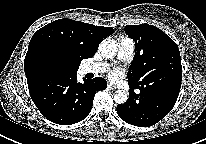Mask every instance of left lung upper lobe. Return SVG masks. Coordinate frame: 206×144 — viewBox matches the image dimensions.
<instances>
[{
    "label": "left lung upper lobe",
    "instance_id": "1",
    "mask_svg": "<svg viewBox=\"0 0 206 144\" xmlns=\"http://www.w3.org/2000/svg\"><path fill=\"white\" fill-rule=\"evenodd\" d=\"M126 34L135 41V56L128 82L146 87H181L180 52L173 40L159 28L149 25H127Z\"/></svg>",
    "mask_w": 206,
    "mask_h": 144
}]
</instances>
